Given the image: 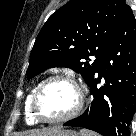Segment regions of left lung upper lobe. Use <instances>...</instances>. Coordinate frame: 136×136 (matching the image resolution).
I'll use <instances>...</instances> for the list:
<instances>
[{"mask_svg": "<svg viewBox=\"0 0 136 136\" xmlns=\"http://www.w3.org/2000/svg\"><path fill=\"white\" fill-rule=\"evenodd\" d=\"M130 7L123 0H70L39 32L30 55L28 78L51 67H68L87 84ZM90 56H95L92 61Z\"/></svg>", "mask_w": 136, "mask_h": 136, "instance_id": "obj_1", "label": "left lung upper lobe"}]
</instances>
